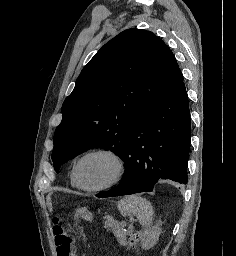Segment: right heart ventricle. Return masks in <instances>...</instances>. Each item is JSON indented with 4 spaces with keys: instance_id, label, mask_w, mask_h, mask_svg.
<instances>
[{
    "instance_id": "e07e8e85",
    "label": "right heart ventricle",
    "mask_w": 236,
    "mask_h": 256,
    "mask_svg": "<svg viewBox=\"0 0 236 256\" xmlns=\"http://www.w3.org/2000/svg\"><path fill=\"white\" fill-rule=\"evenodd\" d=\"M76 163H77V160H74L73 163L71 164L70 171H69V180L72 187L79 188L80 186L77 182L76 175H75Z\"/></svg>"
}]
</instances>
